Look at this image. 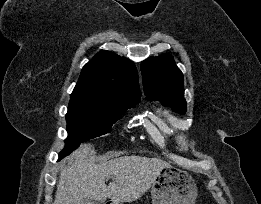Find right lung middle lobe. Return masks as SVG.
I'll list each match as a JSON object with an SVG mask.
<instances>
[{
  "label": "right lung middle lobe",
  "instance_id": "right-lung-middle-lobe-1",
  "mask_svg": "<svg viewBox=\"0 0 261 204\" xmlns=\"http://www.w3.org/2000/svg\"><path fill=\"white\" fill-rule=\"evenodd\" d=\"M137 103L99 104L85 98H71L66 115L68 138L60 158L73 152L82 142L110 132L121 115Z\"/></svg>",
  "mask_w": 261,
  "mask_h": 204
}]
</instances>
